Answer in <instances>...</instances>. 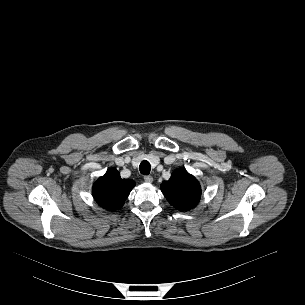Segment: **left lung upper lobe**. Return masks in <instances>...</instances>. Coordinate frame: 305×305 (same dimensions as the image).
<instances>
[{"label":"left lung upper lobe","mask_w":305,"mask_h":305,"mask_svg":"<svg viewBox=\"0 0 305 305\" xmlns=\"http://www.w3.org/2000/svg\"><path fill=\"white\" fill-rule=\"evenodd\" d=\"M168 202L180 211L194 208L201 196V187L196 178L185 169L175 170L171 178L161 185Z\"/></svg>","instance_id":"1"}]
</instances>
